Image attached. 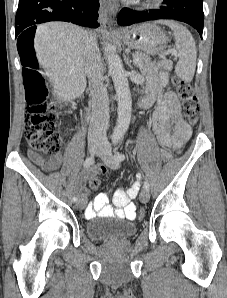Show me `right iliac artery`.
Segmentation results:
<instances>
[{
  "mask_svg": "<svg viewBox=\"0 0 227 298\" xmlns=\"http://www.w3.org/2000/svg\"><path fill=\"white\" fill-rule=\"evenodd\" d=\"M93 163H94V157L90 156V157L86 158V160L84 161V167L89 168ZM72 201L73 202L77 201V197L73 196Z\"/></svg>",
  "mask_w": 227,
  "mask_h": 298,
  "instance_id": "obj_1",
  "label": "right iliac artery"
}]
</instances>
